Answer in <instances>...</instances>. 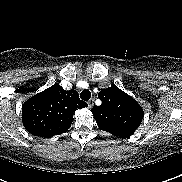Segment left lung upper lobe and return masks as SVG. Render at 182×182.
<instances>
[{
	"mask_svg": "<svg viewBox=\"0 0 182 182\" xmlns=\"http://www.w3.org/2000/svg\"><path fill=\"white\" fill-rule=\"evenodd\" d=\"M98 97L102 104L91 109L98 127L114 136L130 137L142 122V107L115 85L101 90Z\"/></svg>",
	"mask_w": 182,
	"mask_h": 182,
	"instance_id": "left-lung-upper-lobe-1",
	"label": "left lung upper lobe"
}]
</instances>
